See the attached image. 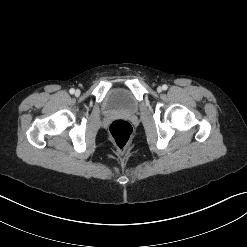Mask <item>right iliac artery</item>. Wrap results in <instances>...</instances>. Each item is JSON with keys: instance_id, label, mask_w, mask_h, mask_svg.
I'll list each match as a JSON object with an SVG mask.
<instances>
[{"instance_id": "82829eb1", "label": "right iliac artery", "mask_w": 247, "mask_h": 247, "mask_svg": "<svg viewBox=\"0 0 247 247\" xmlns=\"http://www.w3.org/2000/svg\"><path fill=\"white\" fill-rule=\"evenodd\" d=\"M70 94H74L75 93V90L72 88L69 90Z\"/></svg>"}]
</instances>
